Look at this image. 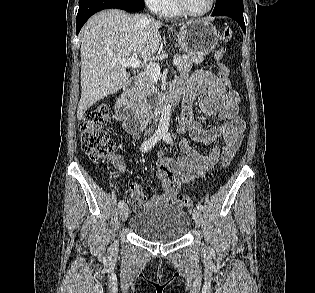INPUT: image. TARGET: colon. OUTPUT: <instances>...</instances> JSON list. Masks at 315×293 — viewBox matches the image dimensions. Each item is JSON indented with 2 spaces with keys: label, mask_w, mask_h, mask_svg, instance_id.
Listing matches in <instances>:
<instances>
[{
  "label": "colon",
  "mask_w": 315,
  "mask_h": 293,
  "mask_svg": "<svg viewBox=\"0 0 315 293\" xmlns=\"http://www.w3.org/2000/svg\"><path fill=\"white\" fill-rule=\"evenodd\" d=\"M232 35V28L229 26L225 27L222 31L221 36L222 43H227L228 41H230ZM223 54V48H220L216 53L219 68V78L221 79L222 85H227L229 87V91L233 92V80L232 78H229V69L225 64L222 63ZM109 115L110 111L108 106L101 105L89 111L80 124V139L82 150L88 157L93 160H105L112 157V153L115 148L114 141L112 140L108 132L102 129L103 124L108 121ZM113 159H116L120 163L117 158ZM230 161L231 159L229 157H224L222 161L223 167H227ZM129 190L136 189L130 187ZM177 203L180 206L186 208H191L193 205L192 199L184 194H181L177 197Z\"/></svg>",
  "instance_id": "1"
}]
</instances>
